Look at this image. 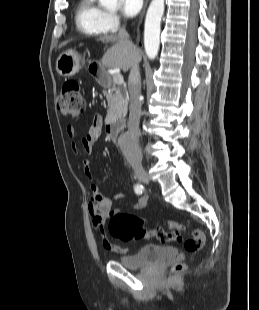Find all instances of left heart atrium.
<instances>
[{"label":"left heart atrium","instance_id":"obj_1","mask_svg":"<svg viewBox=\"0 0 259 310\" xmlns=\"http://www.w3.org/2000/svg\"><path fill=\"white\" fill-rule=\"evenodd\" d=\"M143 0H121V10L126 17L136 16L142 9Z\"/></svg>","mask_w":259,"mask_h":310}]
</instances>
